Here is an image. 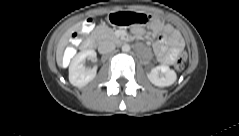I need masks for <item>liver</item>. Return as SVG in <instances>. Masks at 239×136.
<instances>
[{
	"mask_svg": "<svg viewBox=\"0 0 239 136\" xmlns=\"http://www.w3.org/2000/svg\"><path fill=\"white\" fill-rule=\"evenodd\" d=\"M80 23L76 24L75 26L69 28L60 38L57 46V52H56V60L57 64L61 67L62 66V55L64 48L66 47L69 38L71 37V34L79 27Z\"/></svg>",
	"mask_w": 239,
	"mask_h": 136,
	"instance_id": "6515ba94",
	"label": "liver"
}]
</instances>
